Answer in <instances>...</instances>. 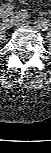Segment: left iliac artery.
I'll list each match as a JSON object with an SVG mask.
<instances>
[{
	"label": "left iliac artery",
	"instance_id": "obj_1",
	"mask_svg": "<svg viewBox=\"0 0 51 153\" xmlns=\"http://www.w3.org/2000/svg\"><path fill=\"white\" fill-rule=\"evenodd\" d=\"M21 16L24 20H28L30 18L29 14L25 10H21ZM49 20L48 19H42L39 21H35L34 24H37L40 27H43L44 29H47L49 26Z\"/></svg>",
	"mask_w": 51,
	"mask_h": 153
}]
</instances>
